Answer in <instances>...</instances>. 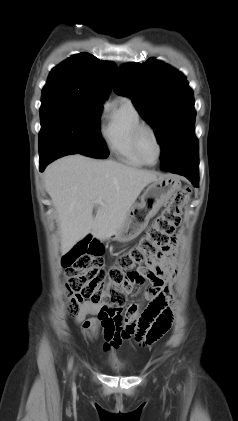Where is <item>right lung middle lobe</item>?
I'll list each match as a JSON object with an SVG mask.
<instances>
[{
	"instance_id": "right-lung-middle-lobe-1",
	"label": "right lung middle lobe",
	"mask_w": 238,
	"mask_h": 421,
	"mask_svg": "<svg viewBox=\"0 0 238 421\" xmlns=\"http://www.w3.org/2000/svg\"><path fill=\"white\" fill-rule=\"evenodd\" d=\"M103 101L80 94L42 91L39 153L59 144L89 157L107 158L109 152L99 131Z\"/></svg>"
}]
</instances>
